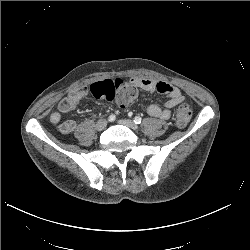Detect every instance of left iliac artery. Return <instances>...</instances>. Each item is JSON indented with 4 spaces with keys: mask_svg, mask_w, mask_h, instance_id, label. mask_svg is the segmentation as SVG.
<instances>
[{
    "mask_svg": "<svg viewBox=\"0 0 250 250\" xmlns=\"http://www.w3.org/2000/svg\"><path fill=\"white\" fill-rule=\"evenodd\" d=\"M134 122H135L136 124H140V123L142 122V118H141L140 116H136V117L134 118Z\"/></svg>",
    "mask_w": 250,
    "mask_h": 250,
    "instance_id": "obj_1",
    "label": "left iliac artery"
}]
</instances>
